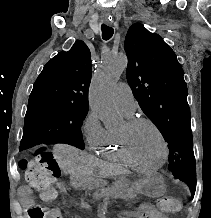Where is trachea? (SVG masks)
Listing matches in <instances>:
<instances>
[{
	"label": "trachea",
	"instance_id": "obj_1",
	"mask_svg": "<svg viewBox=\"0 0 211 218\" xmlns=\"http://www.w3.org/2000/svg\"><path fill=\"white\" fill-rule=\"evenodd\" d=\"M101 30L103 40H110V38L113 36V28L109 27L108 25H102Z\"/></svg>",
	"mask_w": 211,
	"mask_h": 218
}]
</instances>
